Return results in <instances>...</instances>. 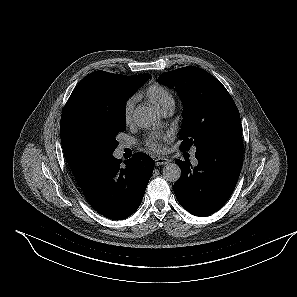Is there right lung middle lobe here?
<instances>
[{
	"label": "right lung middle lobe",
	"mask_w": 297,
	"mask_h": 297,
	"mask_svg": "<svg viewBox=\"0 0 297 297\" xmlns=\"http://www.w3.org/2000/svg\"><path fill=\"white\" fill-rule=\"evenodd\" d=\"M139 87H130L120 104L86 106L71 121V143L93 165L100 166L113 156L119 144L116 136L126 129V101Z\"/></svg>",
	"instance_id": "1"
}]
</instances>
